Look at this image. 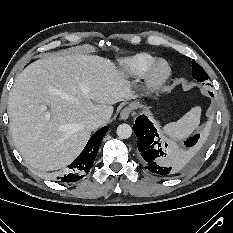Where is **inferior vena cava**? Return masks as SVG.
<instances>
[{"label":"inferior vena cava","mask_w":233,"mask_h":233,"mask_svg":"<svg viewBox=\"0 0 233 233\" xmlns=\"http://www.w3.org/2000/svg\"><path fill=\"white\" fill-rule=\"evenodd\" d=\"M106 122L107 119L105 117L98 114H92L86 118L85 125L87 128L94 130L105 125Z\"/></svg>","instance_id":"inferior-vena-cava-1"}]
</instances>
